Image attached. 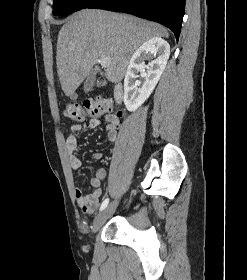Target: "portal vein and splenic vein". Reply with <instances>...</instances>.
I'll return each instance as SVG.
<instances>
[{
	"label": "portal vein and splenic vein",
	"mask_w": 247,
	"mask_h": 280,
	"mask_svg": "<svg viewBox=\"0 0 247 280\" xmlns=\"http://www.w3.org/2000/svg\"><path fill=\"white\" fill-rule=\"evenodd\" d=\"M99 63H100L101 66L106 67L109 64V58L101 57L99 59Z\"/></svg>",
	"instance_id": "18ae733b"
}]
</instances>
